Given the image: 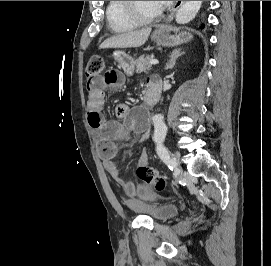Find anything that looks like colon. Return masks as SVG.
Listing matches in <instances>:
<instances>
[{
    "label": "colon",
    "instance_id": "5ec220e1",
    "mask_svg": "<svg viewBox=\"0 0 271 266\" xmlns=\"http://www.w3.org/2000/svg\"><path fill=\"white\" fill-rule=\"evenodd\" d=\"M104 69V60L101 56H92L86 67L88 77L99 75ZM137 176L147 185H153L157 191H163L166 187L164 178L158 171L147 165H138L136 170Z\"/></svg>",
    "mask_w": 271,
    "mask_h": 266
}]
</instances>
